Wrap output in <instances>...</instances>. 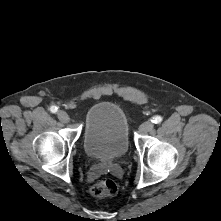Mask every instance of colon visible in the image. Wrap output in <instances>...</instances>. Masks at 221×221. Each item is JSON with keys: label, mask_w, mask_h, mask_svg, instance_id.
<instances>
[{"label": "colon", "mask_w": 221, "mask_h": 221, "mask_svg": "<svg viewBox=\"0 0 221 221\" xmlns=\"http://www.w3.org/2000/svg\"><path fill=\"white\" fill-rule=\"evenodd\" d=\"M118 186L111 179L98 181L90 188V193L95 197H110L117 193Z\"/></svg>", "instance_id": "1"}]
</instances>
